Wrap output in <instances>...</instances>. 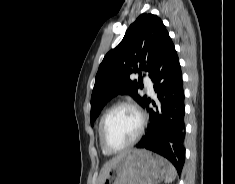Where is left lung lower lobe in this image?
Here are the masks:
<instances>
[{
    "label": "left lung lower lobe",
    "mask_w": 235,
    "mask_h": 184,
    "mask_svg": "<svg viewBox=\"0 0 235 184\" xmlns=\"http://www.w3.org/2000/svg\"><path fill=\"white\" fill-rule=\"evenodd\" d=\"M150 77L158 102H153L155 109L148 108L147 99L142 105L149 112L150 124L136 147L167 158L181 173L185 163L184 92L178 55L170 37L161 44Z\"/></svg>",
    "instance_id": "0a47b994"
}]
</instances>
